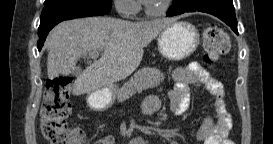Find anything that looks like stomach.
Wrapping results in <instances>:
<instances>
[{
  "instance_id": "1",
  "label": "stomach",
  "mask_w": 273,
  "mask_h": 144,
  "mask_svg": "<svg viewBox=\"0 0 273 144\" xmlns=\"http://www.w3.org/2000/svg\"><path fill=\"white\" fill-rule=\"evenodd\" d=\"M200 35L197 28L185 21H175L165 27L157 38L161 55L172 61L189 57L198 47ZM117 87L96 90L88 94L87 105L95 111L109 109L116 99Z\"/></svg>"
}]
</instances>
